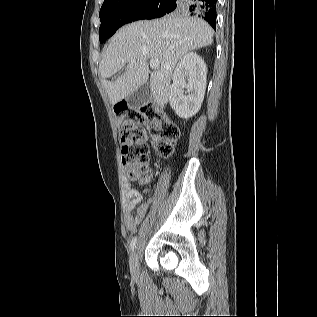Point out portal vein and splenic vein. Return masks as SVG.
Wrapping results in <instances>:
<instances>
[{"mask_svg": "<svg viewBox=\"0 0 317 317\" xmlns=\"http://www.w3.org/2000/svg\"><path fill=\"white\" fill-rule=\"evenodd\" d=\"M131 62H134V61L132 60ZM149 63H150V67L152 69H155V68H157L159 66V60L158 59H151Z\"/></svg>", "mask_w": 317, "mask_h": 317, "instance_id": "18ae733b", "label": "portal vein and splenic vein"}]
</instances>
